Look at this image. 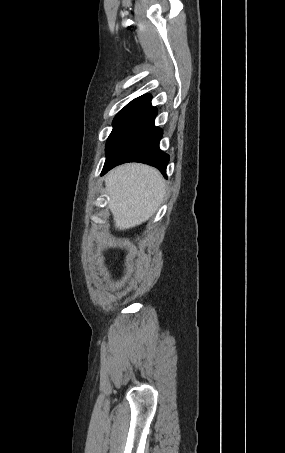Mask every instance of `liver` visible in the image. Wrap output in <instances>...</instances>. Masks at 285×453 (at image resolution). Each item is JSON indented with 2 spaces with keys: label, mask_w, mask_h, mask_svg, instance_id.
Returning a JSON list of instances; mask_svg holds the SVG:
<instances>
[{
  "label": "liver",
  "mask_w": 285,
  "mask_h": 453,
  "mask_svg": "<svg viewBox=\"0 0 285 453\" xmlns=\"http://www.w3.org/2000/svg\"><path fill=\"white\" fill-rule=\"evenodd\" d=\"M109 209L115 228L130 229L146 222L159 208L165 180L159 171L144 164H124L105 178Z\"/></svg>",
  "instance_id": "1"
}]
</instances>
